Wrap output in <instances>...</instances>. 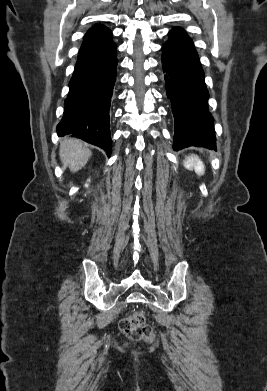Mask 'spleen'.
<instances>
[{"label": "spleen", "instance_id": "1", "mask_svg": "<svg viewBox=\"0 0 267 391\" xmlns=\"http://www.w3.org/2000/svg\"><path fill=\"white\" fill-rule=\"evenodd\" d=\"M183 164L185 168L189 170H194L199 176H203L205 173V166L201 161V159L196 155H191L189 157H186Z\"/></svg>", "mask_w": 267, "mask_h": 391}]
</instances>
